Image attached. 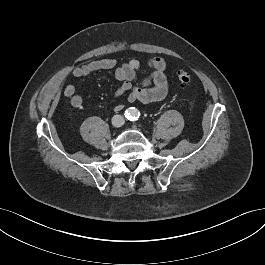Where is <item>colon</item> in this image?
<instances>
[{"instance_id":"1","label":"colon","mask_w":265,"mask_h":265,"mask_svg":"<svg viewBox=\"0 0 265 265\" xmlns=\"http://www.w3.org/2000/svg\"><path fill=\"white\" fill-rule=\"evenodd\" d=\"M177 77H178L179 84L182 87H187L192 82L190 74L185 71H179L177 74Z\"/></svg>"}]
</instances>
